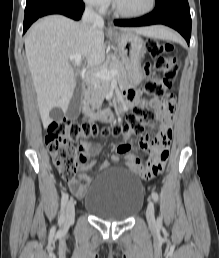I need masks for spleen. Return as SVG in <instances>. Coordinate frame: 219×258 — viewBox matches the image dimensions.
Instances as JSON below:
<instances>
[{
  "label": "spleen",
  "mask_w": 219,
  "mask_h": 258,
  "mask_svg": "<svg viewBox=\"0 0 219 258\" xmlns=\"http://www.w3.org/2000/svg\"><path fill=\"white\" fill-rule=\"evenodd\" d=\"M173 33L167 29L164 28V30L161 32V38H173Z\"/></svg>",
  "instance_id": "spleen-1"
}]
</instances>
